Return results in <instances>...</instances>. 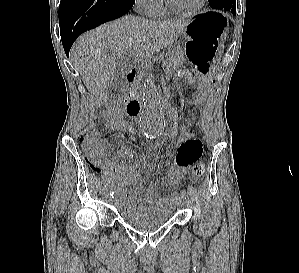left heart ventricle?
Here are the masks:
<instances>
[{"instance_id":"1","label":"left heart ventricle","mask_w":299,"mask_h":273,"mask_svg":"<svg viewBox=\"0 0 299 273\" xmlns=\"http://www.w3.org/2000/svg\"><path fill=\"white\" fill-rule=\"evenodd\" d=\"M171 2L180 9L191 10L199 3V0H171Z\"/></svg>"}]
</instances>
